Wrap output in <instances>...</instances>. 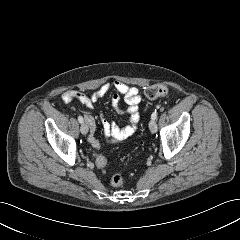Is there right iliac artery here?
<instances>
[{
  "instance_id": "obj_1",
  "label": "right iliac artery",
  "mask_w": 240,
  "mask_h": 240,
  "mask_svg": "<svg viewBox=\"0 0 240 240\" xmlns=\"http://www.w3.org/2000/svg\"><path fill=\"white\" fill-rule=\"evenodd\" d=\"M78 121H79V123H83L84 121H83V117L82 116H78Z\"/></svg>"
}]
</instances>
